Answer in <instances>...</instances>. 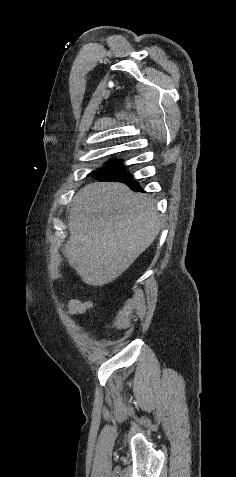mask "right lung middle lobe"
I'll list each match as a JSON object with an SVG mask.
<instances>
[{
	"instance_id": "obj_1",
	"label": "right lung middle lobe",
	"mask_w": 236,
	"mask_h": 477,
	"mask_svg": "<svg viewBox=\"0 0 236 477\" xmlns=\"http://www.w3.org/2000/svg\"><path fill=\"white\" fill-rule=\"evenodd\" d=\"M122 169H123V166L121 164L115 165L113 163H110L105 168H102L98 171H94L89 175L92 176V177H95L97 180H99L101 178L113 175V174L121 171Z\"/></svg>"
}]
</instances>
